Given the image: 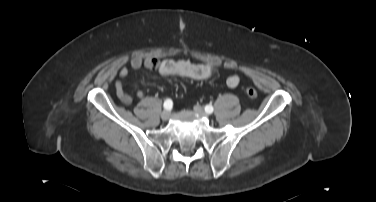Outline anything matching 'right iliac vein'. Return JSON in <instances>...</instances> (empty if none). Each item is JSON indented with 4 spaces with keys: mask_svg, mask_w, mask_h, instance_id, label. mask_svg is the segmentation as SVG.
Instances as JSON below:
<instances>
[{
    "mask_svg": "<svg viewBox=\"0 0 376 202\" xmlns=\"http://www.w3.org/2000/svg\"><path fill=\"white\" fill-rule=\"evenodd\" d=\"M170 117V111L169 110H164L162 113H161V119L163 121H167Z\"/></svg>",
    "mask_w": 376,
    "mask_h": 202,
    "instance_id": "63e3f726",
    "label": "right iliac vein"
}]
</instances>
